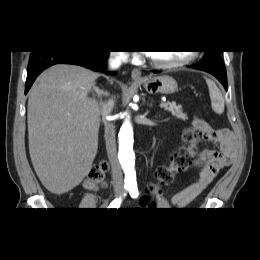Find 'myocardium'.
Masks as SVG:
<instances>
[{"label":"myocardium","mask_w":260,"mask_h":260,"mask_svg":"<svg viewBox=\"0 0 260 260\" xmlns=\"http://www.w3.org/2000/svg\"><path fill=\"white\" fill-rule=\"evenodd\" d=\"M197 53L190 51L184 58L173 61V62H159L156 61L150 54L148 55L149 62L158 69L171 70L188 65L193 60H195Z\"/></svg>","instance_id":"obj_1"}]
</instances>
